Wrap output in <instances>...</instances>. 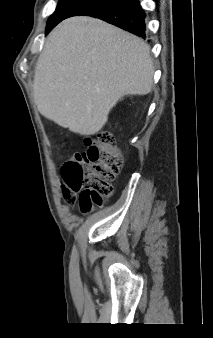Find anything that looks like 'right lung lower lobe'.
Here are the masks:
<instances>
[{"mask_svg":"<svg viewBox=\"0 0 213 338\" xmlns=\"http://www.w3.org/2000/svg\"><path fill=\"white\" fill-rule=\"evenodd\" d=\"M78 15L93 16L142 38L147 37L146 15L138 0H92L77 8L68 17Z\"/></svg>","mask_w":213,"mask_h":338,"instance_id":"obj_1","label":"right lung lower lobe"}]
</instances>
